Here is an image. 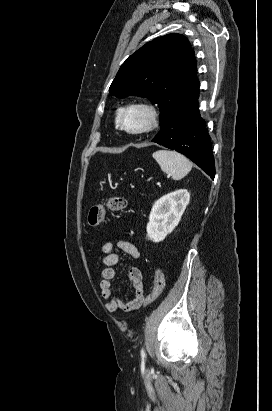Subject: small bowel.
Listing matches in <instances>:
<instances>
[{"label": "small bowel", "instance_id": "small-bowel-1", "mask_svg": "<svg viewBox=\"0 0 272 411\" xmlns=\"http://www.w3.org/2000/svg\"><path fill=\"white\" fill-rule=\"evenodd\" d=\"M115 249L129 255L134 260L140 257V253L135 245L129 241L118 240L108 241L102 246L103 264L105 268L101 272V280L99 283V290L102 298L106 299L105 308L109 312H115L118 309L122 311H132L137 308L131 305L138 297L144 296L143 274L138 267H131L127 271V278L134 290V296L131 300L124 302L115 295L114 280L116 276V267L121 260V254L115 252Z\"/></svg>", "mask_w": 272, "mask_h": 411}]
</instances>
